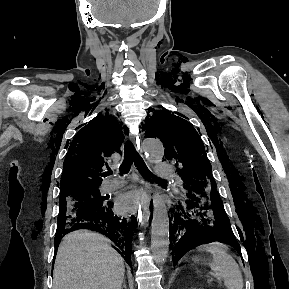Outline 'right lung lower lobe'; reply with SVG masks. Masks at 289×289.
<instances>
[{
	"mask_svg": "<svg viewBox=\"0 0 289 289\" xmlns=\"http://www.w3.org/2000/svg\"><path fill=\"white\" fill-rule=\"evenodd\" d=\"M135 223L122 220L112 210V203H107L97 210L78 214L70 221L57 227L55 236V248L57 249L61 238L67 233L77 229H90L100 232L116 244V250L122 255L125 261L131 265V240Z\"/></svg>",
	"mask_w": 289,
	"mask_h": 289,
	"instance_id": "1",
	"label": "right lung lower lobe"
}]
</instances>
